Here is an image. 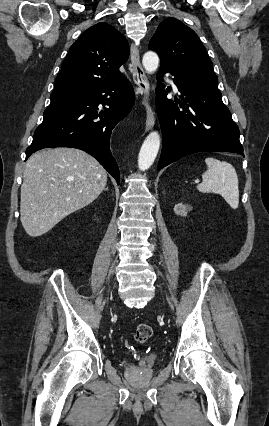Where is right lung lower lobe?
<instances>
[{"label":"right lung lower lobe","instance_id":"right-lung-lower-lobe-1","mask_svg":"<svg viewBox=\"0 0 269 426\" xmlns=\"http://www.w3.org/2000/svg\"><path fill=\"white\" fill-rule=\"evenodd\" d=\"M134 103L133 87L125 77L111 85L80 91L72 102L45 110L43 122L26 150V159L42 148L81 149L95 157L119 184V168L109 142L113 128L128 115ZM99 104L109 108L99 111Z\"/></svg>","mask_w":269,"mask_h":426}]
</instances>
